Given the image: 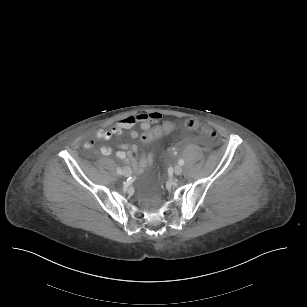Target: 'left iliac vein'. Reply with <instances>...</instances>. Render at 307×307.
Returning <instances> with one entry per match:
<instances>
[{
  "label": "left iliac vein",
  "mask_w": 307,
  "mask_h": 307,
  "mask_svg": "<svg viewBox=\"0 0 307 307\" xmlns=\"http://www.w3.org/2000/svg\"><path fill=\"white\" fill-rule=\"evenodd\" d=\"M183 172V168H182V166L181 165H176L175 167H174V173H175V175H181V173Z\"/></svg>",
  "instance_id": "left-iliac-vein-1"
}]
</instances>
